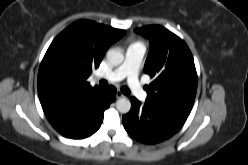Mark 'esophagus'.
I'll use <instances>...</instances> for the list:
<instances>
[{
    "mask_svg": "<svg viewBox=\"0 0 248 165\" xmlns=\"http://www.w3.org/2000/svg\"><path fill=\"white\" fill-rule=\"evenodd\" d=\"M124 97V94L120 91H117L116 92V98L119 99V98H123Z\"/></svg>",
    "mask_w": 248,
    "mask_h": 165,
    "instance_id": "obj_1",
    "label": "esophagus"
}]
</instances>
